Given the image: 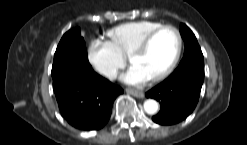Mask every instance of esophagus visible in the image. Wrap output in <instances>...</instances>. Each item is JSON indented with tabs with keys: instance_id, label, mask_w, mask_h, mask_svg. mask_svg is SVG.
<instances>
[{
	"instance_id": "obj_1",
	"label": "esophagus",
	"mask_w": 247,
	"mask_h": 145,
	"mask_svg": "<svg viewBox=\"0 0 247 145\" xmlns=\"http://www.w3.org/2000/svg\"><path fill=\"white\" fill-rule=\"evenodd\" d=\"M128 94H131L133 95L134 97H137V98H143L144 97V93L142 91H139V90H135V89H126L125 90Z\"/></svg>"
}]
</instances>
